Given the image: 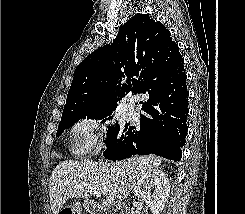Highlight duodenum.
Masks as SVG:
<instances>
[{
  "label": "duodenum",
  "instance_id": "410a0bca",
  "mask_svg": "<svg viewBox=\"0 0 245 214\" xmlns=\"http://www.w3.org/2000/svg\"><path fill=\"white\" fill-rule=\"evenodd\" d=\"M86 205L91 214H129L128 210L120 205L103 207L93 200H88Z\"/></svg>",
  "mask_w": 245,
  "mask_h": 214
}]
</instances>
